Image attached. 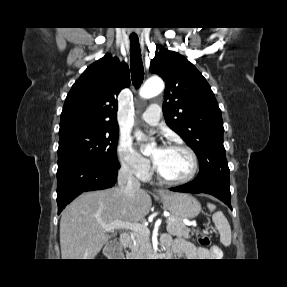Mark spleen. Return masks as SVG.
I'll use <instances>...</instances> for the list:
<instances>
[{
    "label": "spleen",
    "mask_w": 287,
    "mask_h": 287,
    "mask_svg": "<svg viewBox=\"0 0 287 287\" xmlns=\"http://www.w3.org/2000/svg\"><path fill=\"white\" fill-rule=\"evenodd\" d=\"M207 207L212 212L216 209V206L208 203ZM212 220L219 231L220 241L224 246H229L231 244V227L227 218L222 212H216L212 216Z\"/></svg>",
    "instance_id": "spleen-1"
}]
</instances>
